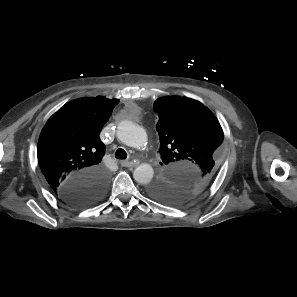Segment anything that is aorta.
<instances>
[{"label": "aorta", "instance_id": "aorta-1", "mask_svg": "<svg viewBox=\"0 0 297 297\" xmlns=\"http://www.w3.org/2000/svg\"><path fill=\"white\" fill-rule=\"evenodd\" d=\"M117 138L129 147L140 149L147 142V133L143 127L126 120L118 125ZM153 175L154 170L148 163L140 164L133 172L134 180L143 185L148 184Z\"/></svg>", "mask_w": 297, "mask_h": 297}]
</instances>
